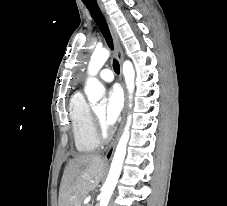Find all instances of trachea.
Segmentation results:
<instances>
[{"instance_id": "1", "label": "trachea", "mask_w": 227, "mask_h": 206, "mask_svg": "<svg viewBox=\"0 0 227 206\" xmlns=\"http://www.w3.org/2000/svg\"><path fill=\"white\" fill-rule=\"evenodd\" d=\"M84 4L87 7V9L89 10L92 18L98 25L108 46L111 49H113V40H112V36H111L110 30H109V27L107 25V22L103 16V14L101 13V11L99 9V6H98L96 0H88L87 2H84ZM113 69H114L115 73L119 74L120 66H119V62L117 60L113 61Z\"/></svg>"}]
</instances>
